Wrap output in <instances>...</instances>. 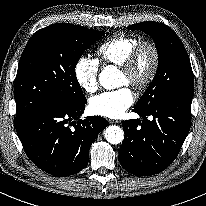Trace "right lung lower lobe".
<instances>
[{
  "mask_svg": "<svg viewBox=\"0 0 206 206\" xmlns=\"http://www.w3.org/2000/svg\"><path fill=\"white\" fill-rule=\"evenodd\" d=\"M86 103L43 106L16 116L17 134L38 168L63 177L86 167L91 144L108 125L100 116L80 119Z\"/></svg>",
  "mask_w": 206,
  "mask_h": 206,
  "instance_id": "right-lung-lower-lobe-1",
  "label": "right lung lower lobe"
}]
</instances>
